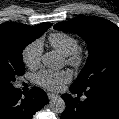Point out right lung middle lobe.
<instances>
[{
	"mask_svg": "<svg viewBox=\"0 0 119 119\" xmlns=\"http://www.w3.org/2000/svg\"><path fill=\"white\" fill-rule=\"evenodd\" d=\"M39 37L38 34L20 31L0 43V92L13 88L15 77L24 74L22 51Z\"/></svg>",
	"mask_w": 119,
	"mask_h": 119,
	"instance_id": "dd1d6c3e",
	"label": "right lung middle lobe"
}]
</instances>
